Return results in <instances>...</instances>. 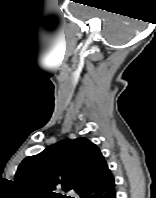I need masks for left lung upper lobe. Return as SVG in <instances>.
Listing matches in <instances>:
<instances>
[{"label": "left lung upper lobe", "instance_id": "5c2ea615", "mask_svg": "<svg viewBox=\"0 0 156 198\" xmlns=\"http://www.w3.org/2000/svg\"><path fill=\"white\" fill-rule=\"evenodd\" d=\"M109 171L99 148L86 138L62 140L26 157L15 181L28 198H66L57 189L77 194L97 184Z\"/></svg>", "mask_w": 156, "mask_h": 198}]
</instances>
